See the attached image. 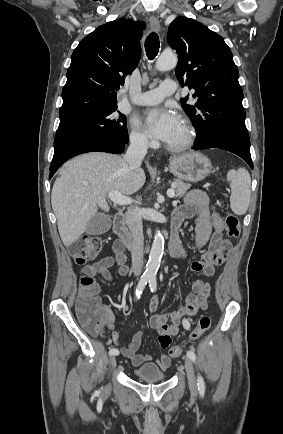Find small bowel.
Masks as SVG:
<instances>
[{"label": "small bowel", "mask_w": 283, "mask_h": 434, "mask_svg": "<svg viewBox=\"0 0 283 434\" xmlns=\"http://www.w3.org/2000/svg\"><path fill=\"white\" fill-rule=\"evenodd\" d=\"M195 216L198 217L195 230L196 246L198 249H202L205 245H208V249L190 266V269L198 273L200 278L194 281L192 293L185 295V305L177 311L153 314L150 318V326L159 334V344L163 349L170 346L172 337L178 333L183 317L194 316L199 310L207 308L210 285L206 279L214 275L215 267L224 263L232 250L231 241L223 236V219L214 206L210 204L206 193L200 189L188 192L183 204L178 207L172 216V225L180 227L185 219ZM170 254L179 260L186 258V252L180 240L170 244ZM114 265L118 267L117 273L119 276L124 277L128 274L127 255L119 240H116L113 244L112 256L104 257L86 266L85 273L93 277L102 276L105 280L112 282L113 277L110 268ZM157 307L158 299L153 297L149 303V311L154 313ZM102 312V329L107 328L110 331L112 342L119 345L120 338L115 329L114 314L105 306H102ZM141 342L142 333L140 332L133 337L127 346L120 348L121 354L130 359L134 367H140L144 363L152 361L150 355L138 353ZM156 364L161 370H166L171 364V358L167 354H162Z\"/></svg>", "instance_id": "1"}]
</instances>
